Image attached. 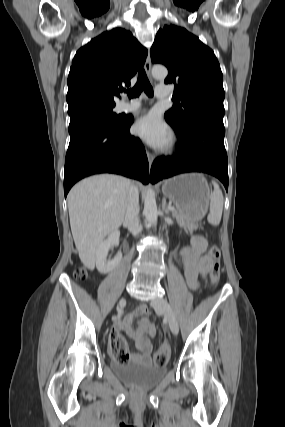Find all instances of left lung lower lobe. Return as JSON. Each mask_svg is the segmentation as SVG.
<instances>
[{"mask_svg":"<svg viewBox=\"0 0 285 427\" xmlns=\"http://www.w3.org/2000/svg\"><path fill=\"white\" fill-rule=\"evenodd\" d=\"M168 123L172 126L170 122ZM175 131L179 141V152L175 156L161 157L154 161L150 172L151 182L156 183L181 173L204 172L217 177L228 190L224 125L204 119L193 124L185 132L177 129Z\"/></svg>","mask_w":285,"mask_h":427,"instance_id":"left-lung-lower-lobe-1","label":"left lung lower lobe"}]
</instances>
